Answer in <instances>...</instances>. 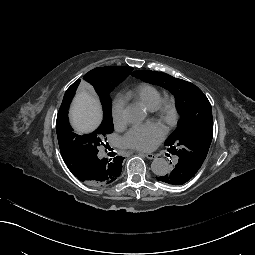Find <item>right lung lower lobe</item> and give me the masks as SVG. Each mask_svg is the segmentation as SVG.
<instances>
[{
	"label": "right lung lower lobe",
	"mask_w": 255,
	"mask_h": 255,
	"mask_svg": "<svg viewBox=\"0 0 255 255\" xmlns=\"http://www.w3.org/2000/svg\"><path fill=\"white\" fill-rule=\"evenodd\" d=\"M79 177L82 180L89 179L91 182H98L100 180V165L97 158L90 160V165L83 161L80 165Z\"/></svg>",
	"instance_id": "right-lung-lower-lobe-1"
}]
</instances>
